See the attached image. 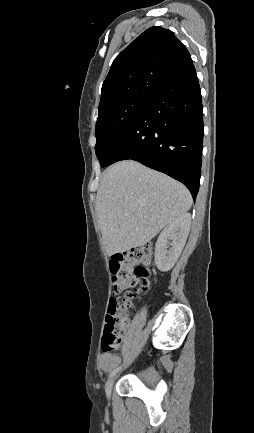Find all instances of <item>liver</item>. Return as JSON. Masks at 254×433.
<instances>
[{
    "label": "liver",
    "mask_w": 254,
    "mask_h": 433,
    "mask_svg": "<svg viewBox=\"0 0 254 433\" xmlns=\"http://www.w3.org/2000/svg\"><path fill=\"white\" fill-rule=\"evenodd\" d=\"M192 205L180 182L126 160L103 174L96 213L108 256L140 247Z\"/></svg>",
    "instance_id": "6515ba94"
}]
</instances>
